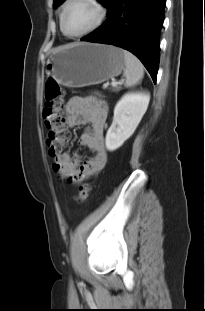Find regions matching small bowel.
I'll return each mask as SVG.
<instances>
[{"instance_id":"obj_1","label":"small bowel","mask_w":205,"mask_h":311,"mask_svg":"<svg viewBox=\"0 0 205 311\" xmlns=\"http://www.w3.org/2000/svg\"><path fill=\"white\" fill-rule=\"evenodd\" d=\"M108 108L95 96H74L65 106V124L69 128L88 126L80 138L79 145L92 152L81 162L77 155L64 152L54 158L53 170L71 183H80L100 172L106 165L108 153L104 146V128Z\"/></svg>"}]
</instances>
